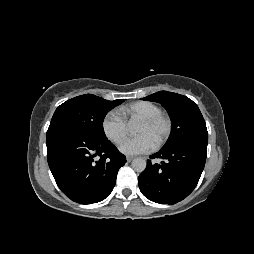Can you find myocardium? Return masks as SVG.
Wrapping results in <instances>:
<instances>
[{
    "label": "myocardium",
    "instance_id": "1",
    "mask_svg": "<svg viewBox=\"0 0 254 254\" xmlns=\"http://www.w3.org/2000/svg\"><path fill=\"white\" fill-rule=\"evenodd\" d=\"M140 122L145 125H149V126L155 125L160 122L164 123L165 132H164L163 136L155 143L156 147L162 146L169 139L171 132H172V122H171L170 118H168L167 116H165L163 114H158V115L144 118V119L140 120Z\"/></svg>",
    "mask_w": 254,
    "mask_h": 254
}]
</instances>
